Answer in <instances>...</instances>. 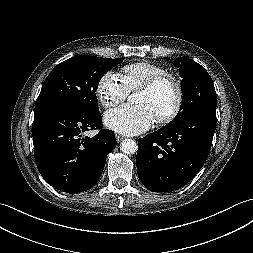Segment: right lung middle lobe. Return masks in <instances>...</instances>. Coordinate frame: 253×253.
<instances>
[{"label":"right lung middle lobe","instance_id":"1","mask_svg":"<svg viewBox=\"0 0 253 253\" xmlns=\"http://www.w3.org/2000/svg\"><path fill=\"white\" fill-rule=\"evenodd\" d=\"M123 59L79 55L58 64L43 83L35 112L43 108H63L87 115L98 112L95 92L99 81Z\"/></svg>","mask_w":253,"mask_h":253}]
</instances>
